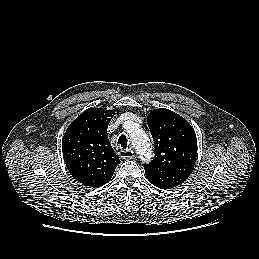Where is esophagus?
<instances>
[{
    "mask_svg": "<svg viewBox=\"0 0 259 259\" xmlns=\"http://www.w3.org/2000/svg\"><path fill=\"white\" fill-rule=\"evenodd\" d=\"M119 155L122 159H132L135 156L134 151L131 149L120 150Z\"/></svg>",
    "mask_w": 259,
    "mask_h": 259,
    "instance_id": "34e87169",
    "label": "esophagus"
}]
</instances>
